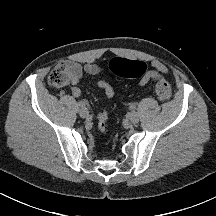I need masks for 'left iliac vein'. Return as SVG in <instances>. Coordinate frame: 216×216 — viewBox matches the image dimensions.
Listing matches in <instances>:
<instances>
[{
    "label": "left iliac vein",
    "instance_id": "left-iliac-vein-1",
    "mask_svg": "<svg viewBox=\"0 0 216 216\" xmlns=\"http://www.w3.org/2000/svg\"><path fill=\"white\" fill-rule=\"evenodd\" d=\"M129 120H130V122L131 123H133V124H136V123H138L139 122V115H138V113L137 112H131L130 114H129Z\"/></svg>",
    "mask_w": 216,
    "mask_h": 216
}]
</instances>
